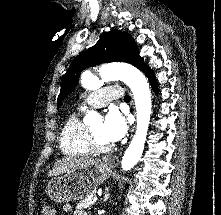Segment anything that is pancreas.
<instances>
[{"label":"pancreas","instance_id":"1","mask_svg":"<svg viewBox=\"0 0 221 215\" xmlns=\"http://www.w3.org/2000/svg\"><path fill=\"white\" fill-rule=\"evenodd\" d=\"M91 196H88L87 198H85L84 200L80 201L76 208L77 209H90V207H92L95 203L94 200L91 199Z\"/></svg>","mask_w":221,"mask_h":215}]
</instances>
